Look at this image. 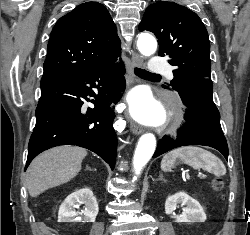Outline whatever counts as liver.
<instances>
[{
    "mask_svg": "<svg viewBox=\"0 0 250 235\" xmlns=\"http://www.w3.org/2000/svg\"><path fill=\"white\" fill-rule=\"evenodd\" d=\"M87 151L76 146H59L37 156L26 173V186L31 197L64 184L81 170Z\"/></svg>",
    "mask_w": 250,
    "mask_h": 235,
    "instance_id": "6515ba94",
    "label": "liver"
}]
</instances>
